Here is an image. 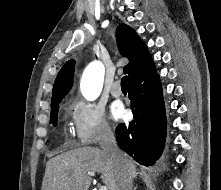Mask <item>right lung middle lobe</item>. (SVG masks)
Here are the masks:
<instances>
[{
	"label": "right lung middle lobe",
	"mask_w": 221,
	"mask_h": 190,
	"mask_svg": "<svg viewBox=\"0 0 221 190\" xmlns=\"http://www.w3.org/2000/svg\"><path fill=\"white\" fill-rule=\"evenodd\" d=\"M61 100H57V101L51 103V116H50L51 121L50 122L53 123L54 126L57 125L58 109H59V103L61 102Z\"/></svg>",
	"instance_id": "right-lung-middle-lobe-1"
}]
</instances>
